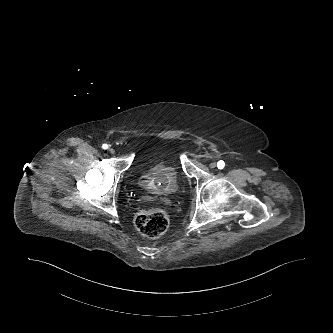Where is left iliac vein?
Listing matches in <instances>:
<instances>
[{
  "instance_id": "1",
  "label": "left iliac vein",
  "mask_w": 333,
  "mask_h": 333,
  "mask_svg": "<svg viewBox=\"0 0 333 333\" xmlns=\"http://www.w3.org/2000/svg\"><path fill=\"white\" fill-rule=\"evenodd\" d=\"M210 168H215L216 167V163L215 162H211L209 165Z\"/></svg>"
}]
</instances>
